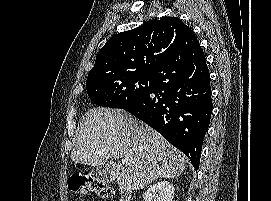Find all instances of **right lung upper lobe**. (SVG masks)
Segmentation results:
<instances>
[{
  "label": "right lung upper lobe",
  "mask_w": 271,
  "mask_h": 201,
  "mask_svg": "<svg viewBox=\"0 0 271 201\" xmlns=\"http://www.w3.org/2000/svg\"><path fill=\"white\" fill-rule=\"evenodd\" d=\"M191 33L179 18L162 17L116 34L97 54L88 78L121 73L154 74Z\"/></svg>",
  "instance_id": "cb5924a9"
}]
</instances>
